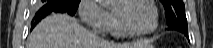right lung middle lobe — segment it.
Instances as JSON below:
<instances>
[{
	"label": "right lung middle lobe",
	"instance_id": "right-lung-middle-lobe-1",
	"mask_svg": "<svg viewBox=\"0 0 213 48\" xmlns=\"http://www.w3.org/2000/svg\"><path fill=\"white\" fill-rule=\"evenodd\" d=\"M46 3H56L64 7L70 13L75 14L76 9L78 8L80 0H43Z\"/></svg>",
	"mask_w": 213,
	"mask_h": 48
}]
</instances>
